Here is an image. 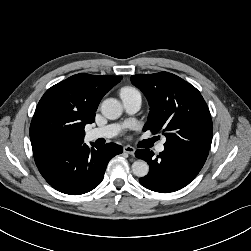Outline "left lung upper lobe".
I'll use <instances>...</instances> for the list:
<instances>
[{"label":"left lung upper lobe","instance_id":"1","mask_svg":"<svg viewBox=\"0 0 251 251\" xmlns=\"http://www.w3.org/2000/svg\"><path fill=\"white\" fill-rule=\"evenodd\" d=\"M131 82L144 93L150 105L144 131L162 132L166 136L164 146L210 149V112L194 86L168 72L132 75Z\"/></svg>","mask_w":251,"mask_h":251}]
</instances>
